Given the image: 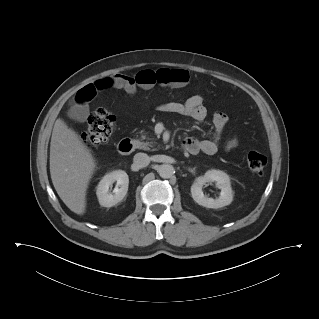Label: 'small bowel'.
<instances>
[{
    "label": "small bowel",
    "mask_w": 319,
    "mask_h": 319,
    "mask_svg": "<svg viewBox=\"0 0 319 319\" xmlns=\"http://www.w3.org/2000/svg\"><path fill=\"white\" fill-rule=\"evenodd\" d=\"M189 80L188 72L184 69L143 70L136 77L122 74H114L104 77L93 84H88L81 88L77 94L78 104L74 107L73 113L77 120H84L88 115V107L85 102L94 98L97 92L109 88L122 89L129 94H134L137 87L150 89L155 84L161 86L179 87L185 85ZM161 112L189 116L196 121L203 122L208 116V110L204 105V99L199 94L190 96L184 102H168L159 106ZM215 134L212 139L198 140L195 137H188L184 141V147L190 154L199 152L212 155L217 152L219 142L228 122L225 113L217 111L212 117ZM238 145L236 137H232L225 142V148L232 150Z\"/></svg>",
    "instance_id": "1"
}]
</instances>
